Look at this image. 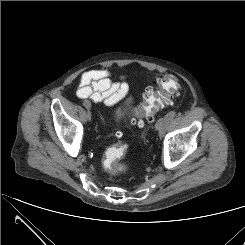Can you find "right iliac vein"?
Listing matches in <instances>:
<instances>
[{
    "instance_id": "63e3f726",
    "label": "right iliac vein",
    "mask_w": 245,
    "mask_h": 245,
    "mask_svg": "<svg viewBox=\"0 0 245 245\" xmlns=\"http://www.w3.org/2000/svg\"><path fill=\"white\" fill-rule=\"evenodd\" d=\"M83 104H84V106L86 107L87 110H90V108H91V103H90L88 100H84ZM86 119H87L88 121L91 120V113H90V112L87 113Z\"/></svg>"
}]
</instances>
